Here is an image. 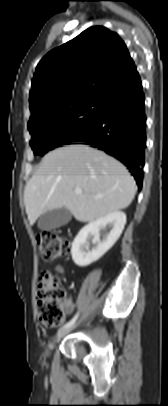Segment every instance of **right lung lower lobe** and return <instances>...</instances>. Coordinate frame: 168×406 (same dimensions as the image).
I'll list each match as a JSON object with an SVG mask.
<instances>
[{
	"instance_id": "obj_1",
	"label": "right lung lower lobe",
	"mask_w": 168,
	"mask_h": 406,
	"mask_svg": "<svg viewBox=\"0 0 168 406\" xmlns=\"http://www.w3.org/2000/svg\"><path fill=\"white\" fill-rule=\"evenodd\" d=\"M96 121L67 144L81 143L98 148L125 164L141 189L146 116L140 77L128 82L100 99Z\"/></svg>"
}]
</instances>
